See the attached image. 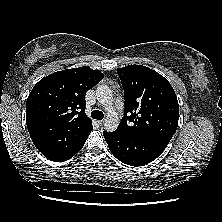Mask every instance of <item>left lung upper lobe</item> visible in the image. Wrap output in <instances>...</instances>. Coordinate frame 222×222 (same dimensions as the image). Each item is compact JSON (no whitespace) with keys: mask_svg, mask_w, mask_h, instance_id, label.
<instances>
[{"mask_svg":"<svg viewBox=\"0 0 222 222\" xmlns=\"http://www.w3.org/2000/svg\"><path fill=\"white\" fill-rule=\"evenodd\" d=\"M117 73L124 89L125 111L115 131L171 140L178 126L179 104L169 81L140 65L119 68Z\"/></svg>","mask_w":222,"mask_h":222,"instance_id":"left-lung-upper-lobe-1","label":"left lung upper lobe"}]
</instances>
